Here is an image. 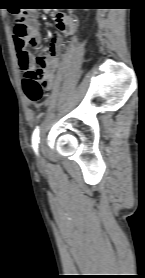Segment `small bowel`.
Instances as JSON below:
<instances>
[{
	"instance_id": "c3829d8e",
	"label": "small bowel",
	"mask_w": 145,
	"mask_h": 278,
	"mask_svg": "<svg viewBox=\"0 0 145 278\" xmlns=\"http://www.w3.org/2000/svg\"><path fill=\"white\" fill-rule=\"evenodd\" d=\"M26 23L28 28V37L26 39V46L38 47L42 42L41 37V27L38 21V10L36 8H31L25 15ZM56 26L61 33L68 36L71 41L76 39V35L78 32L79 25L76 21L70 19L67 15L60 14L56 18ZM14 37V35H13ZM16 38L14 37V42L16 44ZM64 38L61 34H55L51 38L50 46L48 48L47 56L44 57L45 59V79L47 89H50L53 86L55 70L58 65V56L64 47ZM17 50V45H16ZM18 61H19V68L22 72H26L34 67V61H32L30 55L26 51L22 53H18Z\"/></svg>"
}]
</instances>
